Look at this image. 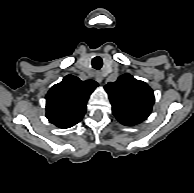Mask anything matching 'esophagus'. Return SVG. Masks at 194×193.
<instances>
[{"instance_id":"1","label":"esophagus","mask_w":194,"mask_h":193,"mask_svg":"<svg viewBox=\"0 0 194 193\" xmlns=\"http://www.w3.org/2000/svg\"><path fill=\"white\" fill-rule=\"evenodd\" d=\"M94 77H95V80H96L98 83H101L102 80H103V75H102L101 72H96L95 75H94Z\"/></svg>"}]
</instances>
